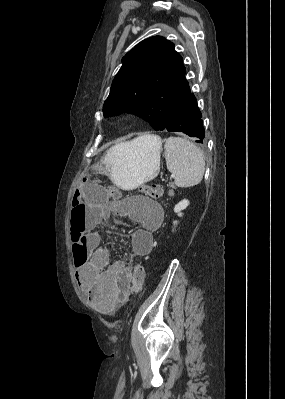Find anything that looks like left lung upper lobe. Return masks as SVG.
<instances>
[{
    "mask_svg": "<svg viewBox=\"0 0 285 399\" xmlns=\"http://www.w3.org/2000/svg\"><path fill=\"white\" fill-rule=\"evenodd\" d=\"M122 62L103 105L104 117L133 113L156 131L163 130L175 101L188 85L182 57L172 42L155 36L136 45Z\"/></svg>",
    "mask_w": 285,
    "mask_h": 399,
    "instance_id": "obj_1",
    "label": "left lung upper lobe"
}]
</instances>
